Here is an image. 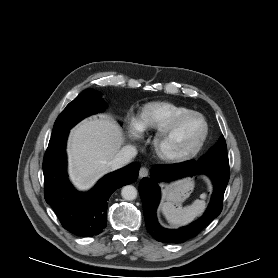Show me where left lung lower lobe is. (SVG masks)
<instances>
[{
  "mask_svg": "<svg viewBox=\"0 0 278 278\" xmlns=\"http://www.w3.org/2000/svg\"><path fill=\"white\" fill-rule=\"evenodd\" d=\"M195 174L207 175L214 185L211 202L205 214L199 220L178 230L161 227L156 219V209L160 200L158 183ZM229 175V170L205 166L194 160L174 165H154L151 170V177L143 178L139 185L145 224L149 234L157 241L163 243H182L197 236L199 232L220 214Z\"/></svg>",
  "mask_w": 278,
  "mask_h": 278,
  "instance_id": "left-lung-lower-lobe-1",
  "label": "left lung lower lobe"
}]
</instances>
